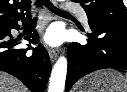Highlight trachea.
I'll use <instances>...</instances> for the list:
<instances>
[{"instance_id": "1", "label": "trachea", "mask_w": 127, "mask_h": 92, "mask_svg": "<svg viewBox=\"0 0 127 92\" xmlns=\"http://www.w3.org/2000/svg\"><path fill=\"white\" fill-rule=\"evenodd\" d=\"M42 4H44L51 12H53L57 15L71 16V14H69L68 12L63 11V10L55 7L49 0H38V1H36L37 7L42 6Z\"/></svg>"}]
</instances>
